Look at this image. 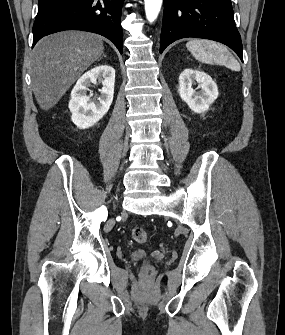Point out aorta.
<instances>
[{"instance_id": "obj_1", "label": "aorta", "mask_w": 285, "mask_h": 335, "mask_svg": "<svg viewBox=\"0 0 285 335\" xmlns=\"http://www.w3.org/2000/svg\"><path fill=\"white\" fill-rule=\"evenodd\" d=\"M144 4L148 22H154L161 10L162 0H144Z\"/></svg>"}]
</instances>
